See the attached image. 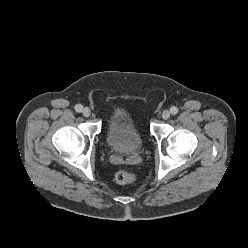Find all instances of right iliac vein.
Returning <instances> with one entry per match:
<instances>
[{"label":"right iliac vein","mask_w":248,"mask_h":248,"mask_svg":"<svg viewBox=\"0 0 248 248\" xmlns=\"http://www.w3.org/2000/svg\"><path fill=\"white\" fill-rule=\"evenodd\" d=\"M82 113H83V115H84L85 117H89L90 114H91V110H90L89 108L86 107V108L83 109Z\"/></svg>","instance_id":"right-iliac-vein-1"}]
</instances>
